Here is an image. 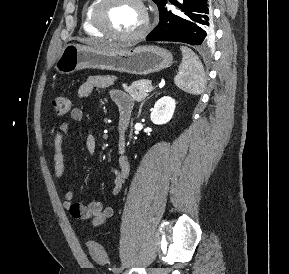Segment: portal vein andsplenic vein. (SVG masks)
Masks as SVG:
<instances>
[{
	"instance_id": "18ae733b",
	"label": "portal vein and splenic vein",
	"mask_w": 289,
	"mask_h": 274,
	"mask_svg": "<svg viewBox=\"0 0 289 274\" xmlns=\"http://www.w3.org/2000/svg\"><path fill=\"white\" fill-rule=\"evenodd\" d=\"M154 88L152 87V86H150L146 91L147 92H150V91H152Z\"/></svg>"
}]
</instances>
